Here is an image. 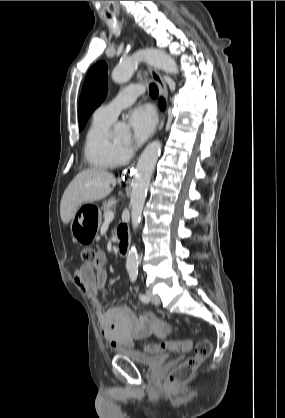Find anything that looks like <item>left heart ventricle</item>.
Returning a JSON list of instances; mask_svg holds the SVG:
<instances>
[{
	"label": "left heart ventricle",
	"instance_id": "b2bd125f",
	"mask_svg": "<svg viewBox=\"0 0 285 418\" xmlns=\"http://www.w3.org/2000/svg\"><path fill=\"white\" fill-rule=\"evenodd\" d=\"M113 142L120 146H122L125 143V141L122 139H114Z\"/></svg>",
	"mask_w": 285,
	"mask_h": 418
}]
</instances>
